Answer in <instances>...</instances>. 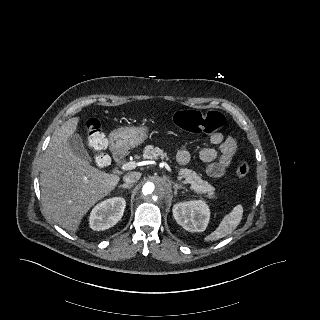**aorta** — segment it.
<instances>
[{
    "label": "aorta",
    "mask_w": 320,
    "mask_h": 320,
    "mask_svg": "<svg viewBox=\"0 0 320 320\" xmlns=\"http://www.w3.org/2000/svg\"><path fill=\"white\" fill-rule=\"evenodd\" d=\"M170 188V185L161 177H154L143 184L140 192L146 203L157 204L170 193ZM154 199L157 200L154 201Z\"/></svg>",
    "instance_id": "aorta-1"
}]
</instances>
